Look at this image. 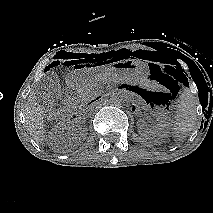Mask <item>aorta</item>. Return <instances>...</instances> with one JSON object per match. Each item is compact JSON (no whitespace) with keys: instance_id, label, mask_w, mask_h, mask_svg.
Here are the masks:
<instances>
[{"instance_id":"762f6f07","label":"aorta","mask_w":213,"mask_h":213,"mask_svg":"<svg viewBox=\"0 0 213 213\" xmlns=\"http://www.w3.org/2000/svg\"><path fill=\"white\" fill-rule=\"evenodd\" d=\"M108 102L112 106L119 107V106L122 105L123 97L120 93H113V94L110 95Z\"/></svg>"}]
</instances>
